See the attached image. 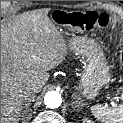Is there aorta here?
Instances as JSON below:
<instances>
[{"instance_id": "obj_1", "label": "aorta", "mask_w": 123, "mask_h": 123, "mask_svg": "<svg viewBox=\"0 0 123 123\" xmlns=\"http://www.w3.org/2000/svg\"><path fill=\"white\" fill-rule=\"evenodd\" d=\"M44 103L50 109L58 108L62 103L60 93L56 91H50L46 93L44 97Z\"/></svg>"}]
</instances>
